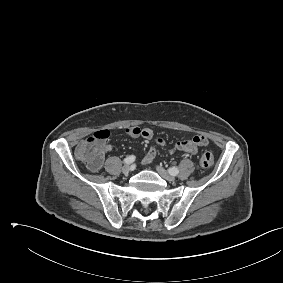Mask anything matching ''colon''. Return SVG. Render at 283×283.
<instances>
[{
  "label": "colon",
  "mask_w": 283,
  "mask_h": 283,
  "mask_svg": "<svg viewBox=\"0 0 283 283\" xmlns=\"http://www.w3.org/2000/svg\"><path fill=\"white\" fill-rule=\"evenodd\" d=\"M109 136L108 131L100 130L83 140L76 149L77 157L91 169H98L103 158V141ZM200 164L209 168L214 164V156L210 151H205L200 157Z\"/></svg>",
  "instance_id": "obj_1"
}]
</instances>
